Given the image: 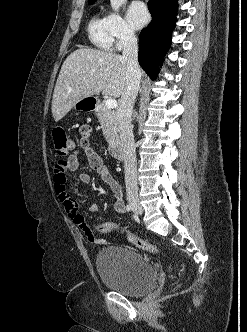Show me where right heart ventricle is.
Masks as SVG:
<instances>
[{
    "label": "right heart ventricle",
    "mask_w": 247,
    "mask_h": 332,
    "mask_svg": "<svg viewBox=\"0 0 247 332\" xmlns=\"http://www.w3.org/2000/svg\"><path fill=\"white\" fill-rule=\"evenodd\" d=\"M87 31L94 46L102 50L112 49L114 39L110 31L108 14L96 12L89 20Z\"/></svg>",
    "instance_id": "obj_1"
}]
</instances>
